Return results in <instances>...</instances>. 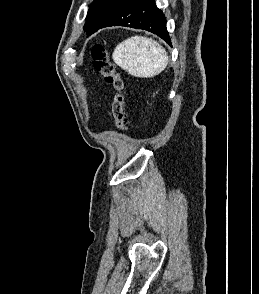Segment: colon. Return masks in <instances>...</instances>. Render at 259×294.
Returning <instances> with one entry per match:
<instances>
[{
    "mask_svg": "<svg viewBox=\"0 0 259 294\" xmlns=\"http://www.w3.org/2000/svg\"><path fill=\"white\" fill-rule=\"evenodd\" d=\"M92 59L95 69L101 73L105 81L114 89L111 110L117 129L125 130L127 127V115L125 113L124 82L115 65L101 44L92 47Z\"/></svg>",
    "mask_w": 259,
    "mask_h": 294,
    "instance_id": "obj_1",
    "label": "colon"
}]
</instances>
